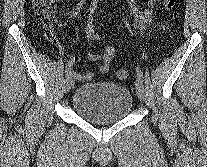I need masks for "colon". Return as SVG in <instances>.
<instances>
[{
  "mask_svg": "<svg viewBox=\"0 0 207 167\" xmlns=\"http://www.w3.org/2000/svg\"><path fill=\"white\" fill-rule=\"evenodd\" d=\"M53 3L54 0H34L35 11L39 18L46 21L50 20ZM175 4L176 0H163L164 8L167 11L173 10ZM45 36L50 41L54 39V31L50 26L46 28ZM94 75L95 74L93 73V77ZM116 75L119 80H126L128 77V72L124 69H120L117 71Z\"/></svg>",
  "mask_w": 207,
  "mask_h": 167,
  "instance_id": "obj_1",
  "label": "colon"
}]
</instances>
